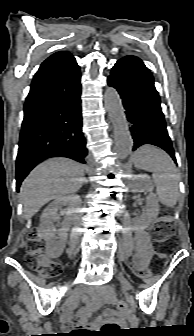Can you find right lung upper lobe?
I'll use <instances>...</instances> for the list:
<instances>
[{"instance_id": "cb5924a9", "label": "right lung upper lobe", "mask_w": 194, "mask_h": 336, "mask_svg": "<svg viewBox=\"0 0 194 336\" xmlns=\"http://www.w3.org/2000/svg\"><path fill=\"white\" fill-rule=\"evenodd\" d=\"M75 63V58L67 51H60L47 58L38 69L33 80L45 77Z\"/></svg>"}]
</instances>
